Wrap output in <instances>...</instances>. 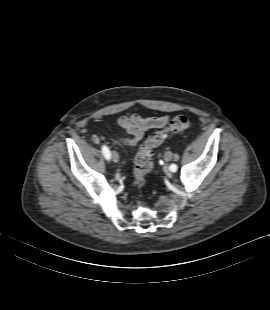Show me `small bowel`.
I'll return each mask as SVG.
<instances>
[{"mask_svg": "<svg viewBox=\"0 0 270 310\" xmlns=\"http://www.w3.org/2000/svg\"><path fill=\"white\" fill-rule=\"evenodd\" d=\"M168 122V115L156 117H143L137 113L121 115L118 117L117 123L129 133L130 137H117L116 140L122 144L134 146L144 138L147 131L161 129Z\"/></svg>", "mask_w": 270, "mask_h": 310, "instance_id": "1", "label": "small bowel"}]
</instances>
